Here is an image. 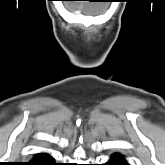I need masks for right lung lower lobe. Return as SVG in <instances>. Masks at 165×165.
I'll list each match as a JSON object with an SVG mask.
<instances>
[{
  "instance_id": "obj_1",
  "label": "right lung lower lobe",
  "mask_w": 165,
  "mask_h": 165,
  "mask_svg": "<svg viewBox=\"0 0 165 165\" xmlns=\"http://www.w3.org/2000/svg\"><path fill=\"white\" fill-rule=\"evenodd\" d=\"M28 165H57V163H54L50 155L41 153L33 161L29 162Z\"/></svg>"
}]
</instances>
